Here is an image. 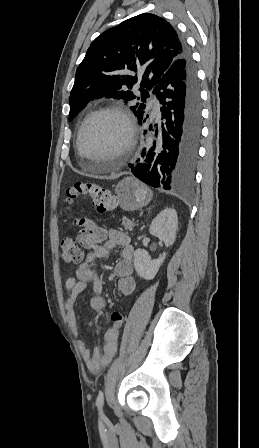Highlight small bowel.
Here are the masks:
<instances>
[{
	"label": "small bowel",
	"mask_w": 259,
	"mask_h": 448,
	"mask_svg": "<svg viewBox=\"0 0 259 448\" xmlns=\"http://www.w3.org/2000/svg\"><path fill=\"white\" fill-rule=\"evenodd\" d=\"M120 248L121 258L114 267V274L118 278L117 290L123 296H129L135 289V280L133 277V258L134 249L131 245L129 236L119 230L111 229L108 238L102 244L94 247L88 253L86 259L77 267L75 275L69 277L65 282L67 297L65 300V312L68 324L74 333H78L76 300L78 296L92 285V296L90 306L96 311H102L106 306V301L102 297V282L92 263L101 258H106L109 253ZM105 322H109V316L105 317ZM120 328L108 327L104 333V346L100 350L97 347L88 348L84 341H79V349L82 357L93 373H99L105 368L115 356L118 347V337Z\"/></svg>",
	"instance_id": "1"
}]
</instances>
